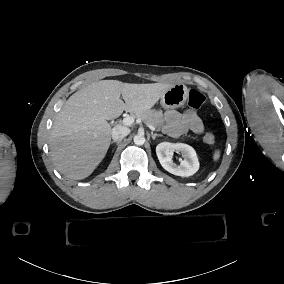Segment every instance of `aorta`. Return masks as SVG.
I'll return each instance as SVG.
<instances>
[{"label": "aorta", "instance_id": "obj_1", "mask_svg": "<svg viewBox=\"0 0 284 284\" xmlns=\"http://www.w3.org/2000/svg\"><path fill=\"white\" fill-rule=\"evenodd\" d=\"M133 140L136 145H143L145 143V137L140 134L135 135Z\"/></svg>", "mask_w": 284, "mask_h": 284}]
</instances>
